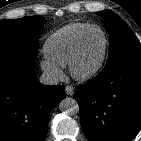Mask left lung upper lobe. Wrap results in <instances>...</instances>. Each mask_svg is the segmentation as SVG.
<instances>
[{"instance_id":"obj_1","label":"left lung upper lobe","mask_w":141,"mask_h":141,"mask_svg":"<svg viewBox=\"0 0 141 141\" xmlns=\"http://www.w3.org/2000/svg\"><path fill=\"white\" fill-rule=\"evenodd\" d=\"M97 14L102 16L110 35V52L106 65L126 58H141V44L121 18L110 10Z\"/></svg>"}]
</instances>
